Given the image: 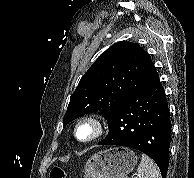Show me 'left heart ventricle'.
Listing matches in <instances>:
<instances>
[{
    "mask_svg": "<svg viewBox=\"0 0 194 178\" xmlns=\"http://www.w3.org/2000/svg\"><path fill=\"white\" fill-rule=\"evenodd\" d=\"M92 134V127L90 125L82 126L78 131V136L80 139H87Z\"/></svg>",
    "mask_w": 194,
    "mask_h": 178,
    "instance_id": "b2bd125f",
    "label": "left heart ventricle"
}]
</instances>
